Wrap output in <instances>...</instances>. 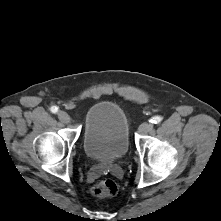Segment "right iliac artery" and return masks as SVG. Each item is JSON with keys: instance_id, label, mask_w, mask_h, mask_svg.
Listing matches in <instances>:
<instances>
[{"instance_id": "right-iliac-artery-1", "label": "right iliac artery", "mask_w": 221, "mask_h": 221, "mask_svg": "<svg viewBox=\"0 0 221 221\" xmlns=\"http://www.w3.org/2000/svg\"><path fill=\"white\" fill-rule=\"evenodd\" d=\"M50 110H51L52 113H57V112H58V107L52 106V107L50 108Z\"/></svg>"}]
</instances>
